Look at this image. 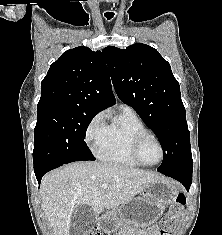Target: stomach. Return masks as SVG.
Here are the masks:
<instances>
[{"label":"stomach","instance_id":"stomach-1","mask_svg":"<svg viewBox=\"0 0 222 235\" xmlns=\"http://www.w3.org/2000/svg\"><path fill=\"white\" fill-rule=\"evenodd\" d=\"M177 183L161 179L151 183L139 197L132 198L97 220L106 233L148 235V228L162 215L165 207L176 201Z\"/></svg>","mask_w":222,"mask_h":235}]
</instances>
